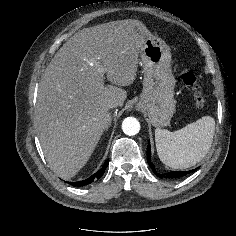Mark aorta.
<instances>
[{"label":"aorta","mask_w":236,"mask_h":236,"mask_svg":"<svg viewBox=\"0 0 236 236\" xmlns=\"http://www.w3.org/2000/svg\"><path fill=\"white\" fill-rule=\"evenodd\" d=\"M122 130L126 135H136L140 131V123L134 117H127L122 122Z\"/></svg>","instance_id":"762f6f07"}]
</instances>
